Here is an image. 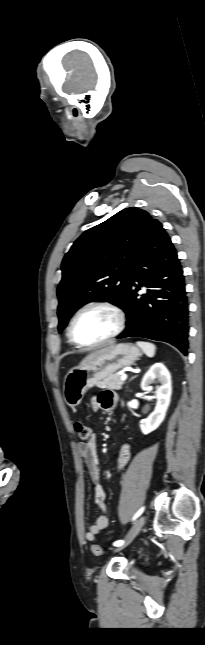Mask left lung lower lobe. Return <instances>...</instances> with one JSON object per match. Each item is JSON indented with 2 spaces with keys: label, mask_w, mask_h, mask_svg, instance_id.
I'll return each instance as SVG.
<instances>
[{
  "label": "left lung lower lobe",
  "mask_w": 205,
  "mask_h": 645,
  "mask_svg": "<svg viewBox=\"0 0 205 645\" xmlns=\"http://www.w3.org/2000/svg\"><path fill=\"white\" fill-rule=\"evenodd\" d=\"M142 286L147 290L139 296ZM121 309L127 316V328L117 338L164 341L188 354L189 308L183 270L168 234L156 219L137 247Z\"/></svg>",
  "instance_id": "obj_1"
}]
</instances>
